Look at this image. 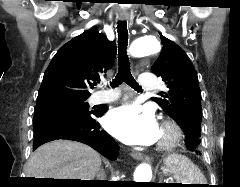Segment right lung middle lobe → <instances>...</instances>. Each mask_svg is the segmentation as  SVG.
<instances>
[{
  "mask_svg": "<svg viewBox=\"0 0 240 187\" xmlns=\"http://www.w3.org/2000/svg\"><path fill=\"white\" fill-rule=\"evenodd\" d=\"M86 98L60 99L37 105L34 110V120L49 114L58 113L73 118L89 117L95 110H89Z\"/></svg>",
  "mask_w": 240,
  "mask_h": 187,
  "instance_id": "1",
  "label": "right lung middle lobe"
}]
</instances>
